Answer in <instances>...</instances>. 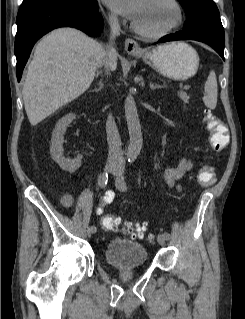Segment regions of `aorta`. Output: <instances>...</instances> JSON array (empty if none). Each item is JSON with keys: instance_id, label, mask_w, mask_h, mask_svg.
<instances>
[{"instance_id": "obj_1", "label": "aorta", "mask_w": 245, "mask_h": 319, "mask_svg": "<svg viewBox=\"0 0 245 319\" xmlns=\"http://www.w3.org/2000/svg\"><path fill=\"white\" fill-rule=\"evenodd\" d=\"M125 116L130 137L126 155L129 160H135L142 149L143 139L136 103L131 94L125 99Z\"/></svg>"}]
</instances>
